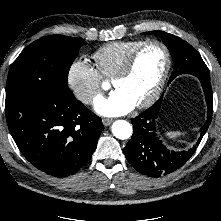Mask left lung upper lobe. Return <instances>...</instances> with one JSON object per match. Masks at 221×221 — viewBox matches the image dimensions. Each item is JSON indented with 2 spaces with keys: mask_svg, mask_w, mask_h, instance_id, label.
I'll return each instance as SVG.
<instances>
[{
  "mask_svg": "<svg viewBox=\"0 0 221 221\" xmlns=\"http://www.w3.org/2000/svg\"><path fill=\"white\" fill-rule=\"evenodd\" d=\"M155 34L160 37L168 47L174 61L175 69L169 79V83L179 74L188 73L199 78L210 79L209 70L199 53L181 38L163 32L150 31L144 34Z\"/></svg>",
  "mask_w": 221,
  "mask_h": 221,
  "instance_id": "obj_1",
  "label": "left lung upper lobe"
}]
</instances>
